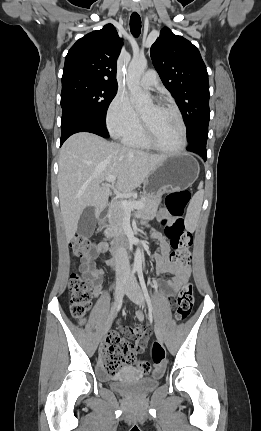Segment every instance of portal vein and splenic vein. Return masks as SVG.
Wrapping results in <instances>:
<instances>
[{
    "instance_id": "portal-vein-and-splenic-vein-1",
    "label": "portal vein and splenic vein",
    "mask_w": 261,
    "mask_h": 431,
    "mask_svg": "<svg viewBox=\"0 0 261 431\" xmlns=\"http://www.w3.org/2000/svg\"><path fill=\"white\" fill-rule=\"evenodd\" d=\"M116 180V176L109 175L106 177V181L109 183H113ZM126 212H129L133 209H141L143 208V203L141 202H128L126 200H120L117 202Z\"/></svg>"
}]
</instances>
